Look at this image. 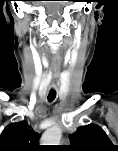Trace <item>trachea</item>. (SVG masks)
I'll list each match as a JSON object with an SVG mask.
<instances>
[{
  "mask_svg": "<svg viewBox=\"0 0 118 151\" xmlns=\"http://www.w3.org/2000/svg\"><path fill=\"white\" fill-rule=\"evenodd\" d=\"M56 97V93H49L48 95V101L52 102Z\"/></svg>",
  "mask_w": 118,
  "mask_h": 151,
  "instance_id": "1",
  "label": "trachea"
}]
</instances>
